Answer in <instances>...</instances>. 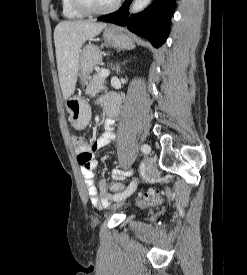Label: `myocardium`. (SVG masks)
Here are the masks:
<instances>
[{
  "label": "myocardium",
  "mask_w": 247,
  "mask_h": 275,
  "mask_svg": "<svg viewBox=\"0 0 247 275\" xmlns=\"http://www.w3.org/2000/svg\"><path fill=\"white\" fill-rule=\"evenodd\" d=\"M70 3L75 10L79 11L83 15L98 16L109 14L115 11L119 7L121 0H115L111 6L102 9H92L86 6L81 0H70Z\"/></svg>",
  "instance_id": "f54148a6"
}]
</instances>
